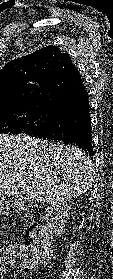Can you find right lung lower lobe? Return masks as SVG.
<instances>
[{
	"mask_svg": "<svg viewBox=\"0 0 113 279\" xmlns=\"http://www.w3.org/2000/svg\"><path fill=\"white\" fill-rule=\"evenodd\" d=\"M26 134L71 144L93 155L90 108L86 89H83L82 94L73 104L63 108L58 119Z\"/></svg>",
	"mask_w": 113,
	"mask_h": 279,
	"instance_id": "obj_1",
	"label": "right lung lower lobe"
}]
</instances>
